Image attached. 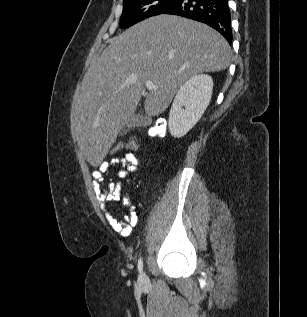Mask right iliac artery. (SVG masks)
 Wrapping results in <instances>:
<instances>
[{"label":"right iliac artery","instance_id":"1","mask_svg":"<svg viewBox=\"0 0 307 317\" xmlns=\"http://www.w3.org/2000/svg\"><path fill=\"white\" fill-rule=\"evenodd\" d=\"M137 267H138L139 272L141 273L143 270V261L141 258H139V260H138Z\"/></svg>","mask_w":307,"mask_h":317}]
</instances>
